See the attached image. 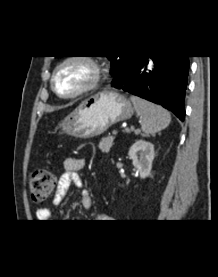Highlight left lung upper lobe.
Listing matches in <instances>:
<instances>
[{
  "label": "left lung upper lobe",
  "mask_w": 218,
  "mask_h": 277,
  "mask_svg": "<svg viewBox=\"0 0 218 277\" xmlns=\"http://www.w3.org/2000/svg\"><path fill=\"white\" fill-rule=\"evenodd\" d=\"M111 61V72L110 74L114 77L120 73L131 59L132 56H106Z\"/></svg>",
  "instance_id": "left-lung-upper-lobe-1"
}]
</instances>
